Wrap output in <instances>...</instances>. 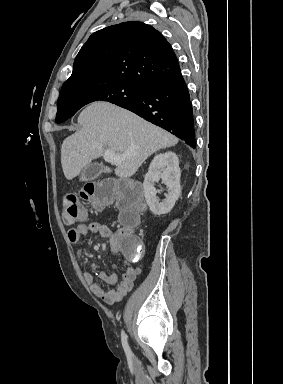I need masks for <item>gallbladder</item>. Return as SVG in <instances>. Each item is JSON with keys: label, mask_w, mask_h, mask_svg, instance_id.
Listing matches in <instances>:
<instances>
[{"label": "gallbladder", "mask_w": 283, "mask_h": 384, "mask_svg": "<svg viewBox=\"0 0 283 384\" xmlns=\"http://www.w3.org/2000/svg\"><path fill=\"white\" fill-rule=\"evenodd\" d=\"M103 170L101 165H89L87 170H84L80 182H87V180H93L94 177L99 176V172Z\"/></svg>", "instance_id": "bac80fb5"}]
</instances>
